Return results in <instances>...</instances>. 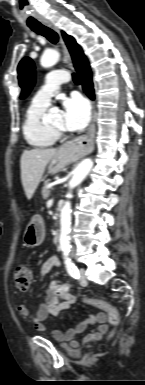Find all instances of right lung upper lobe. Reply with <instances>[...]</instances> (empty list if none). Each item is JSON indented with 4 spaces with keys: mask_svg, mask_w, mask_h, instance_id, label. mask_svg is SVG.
Here are the masks:
<instances>
[{
    "mask_svg": "<svg viewBox=\"0 0 145 385\" xmlns=\"http://www.w3.org/2000/svg\"><path fill=\"white\" fill-rule=\"evenodd\" d=\"M62 36L70 51L76 70H79L83 65L88 64L81 47L76 43L75 39L65 32H62Z\"/></svg>",
    "mask_w": 145,
    "mask_h": 385,
    "instance_id": "cb5924a9",
    "label": "right lung upper lobe"
}]
</instances>
